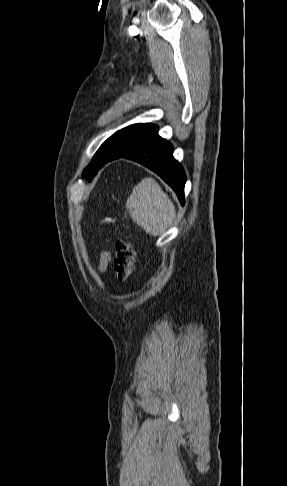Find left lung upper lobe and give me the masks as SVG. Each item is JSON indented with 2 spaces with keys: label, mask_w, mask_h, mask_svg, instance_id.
<instances>
[{
  "label": "left lung upper lobe",
  "mask_w": 287,
  "mask_h": 486,
  "mask_svg": "<svg viewBox=\"0 0 287 486\" xmlns=\"http://www.w3.org/2000/svg\"><path fill=\"white\" fill-rule=\"evenodd\" d=\"M157 130L155 125L140 123L117 131L100 146L82 176L91 181L104 162L139 149Z\"/></svg>",
  "instance_id": "left-lung-upper-lobe-1"
}]
</instances>
